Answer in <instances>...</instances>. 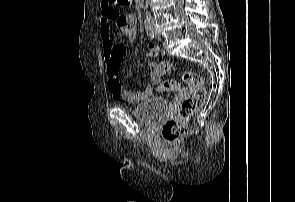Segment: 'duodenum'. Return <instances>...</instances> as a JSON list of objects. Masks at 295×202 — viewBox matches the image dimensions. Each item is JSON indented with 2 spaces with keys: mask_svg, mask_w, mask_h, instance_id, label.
Returning <instances> with one entry per match:
<instances>
[{
  "mask_svg": "<svg viewBox=\"0 0 295 202\" xmlns=\"http://www.w3.org/2000/svg\"><path fill=\"white\" fill-rule=\"evenodd\" d=\"M140 7H144L146 0H137Z\"/></svg>",
  "mask_w": 295,
  "mask_h": 202,
  "instance_id": "410a0bca",
  "label": "duodenum"
}]
</instances>
